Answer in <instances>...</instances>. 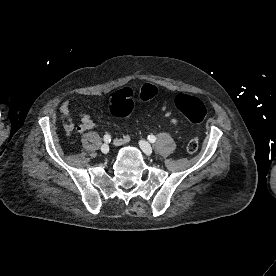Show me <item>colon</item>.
I'll return each instance as SVG.
<instances>
[{
  "instance_id": "1",
  "label": "colon",
  "mask_w": 276,
  "mask_h": 276,
  "mask_svg": "<svg viewBox=\"0 0 276 276\" xmlns=\"http://www.w3.org/2000/svg\"><path fill=\"white\" fill-rule=\"evenodd\" d=\"M156 95V88L151 84H145L139 91L140 99L147 101ZM175 107L181 112L192 124L200 123L206 114L204 104L196 97L187 94H178L174 99ZM134 92L131 89H123L110 97V113L118 118L129 116L134 109ZM188 153H195L198 150V140L191 139L187 145Z\"/></svg>"
}]
</instances>
